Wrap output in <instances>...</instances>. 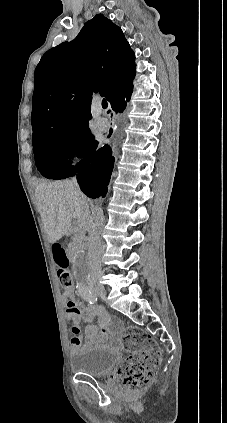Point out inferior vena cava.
Instances as JSON below:
<instances>
[{
  "instance_id": "1",
  "label": "inferior vena cava",
  "mask_w": 227,
  "mask_h": 423,
  "mask_svg": "<svg viewBox=\"0 0 227 423\" xmlns=\"http://www.w3.org/2000/svg\"><path fill=\"white\" fill-rule=\"evenodd\" d=\"M74 184H77L76 178H73ZM94 219V221H93ZM102 219L101 217H97V215H90L89 208L85 202L84 204V213L82 219L83 229H87L88 231V243H89V255L91 259L90 263V271L88 273V281L92 283V281H99L102 275V267H101V255H102V247H101V239L98 233L97 225H100Z\"/></svg>"
}]
</instances>
